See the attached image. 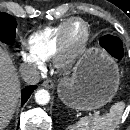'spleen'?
<instances>
[{
    "label": "spleen",
    "instance_id": "1",
    "mask_svg": "<svg viewBox=\"0 0 130 130\" xmlns=\"http://www.w3.org/2000/svg\"><path fill=\"white\" fill-rule=\"evenodd\" d=\"M124 108L123 102L115 103L106 115L94 118L82 117L75 125H70L67 130H114Z\"/></svg>",
    "mask_w": 130,
    "mask_h": 130
}]
</instances>
